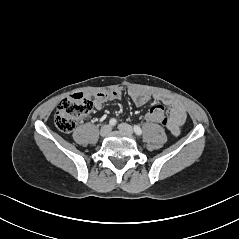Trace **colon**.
<instances>
[{"label":"colon","instance_id":"colon-1","mask_svg":"<svg viewBox=\"0 0 239 239\" xmlns=\"http://www.w3.org/2000/svg\"><path fill=\"white\" fill-rule=\"evenodd\" d=\"M93 103L89 96L83 93H75L64 98L55 113L56 127L62 132H71L77 122L90 113ZM165 109L159 104L150 106L145 114L147 122L156 125H165L167 122Z\"/></svg>","mask_w":239,"mask_h":239}]
</instances>
